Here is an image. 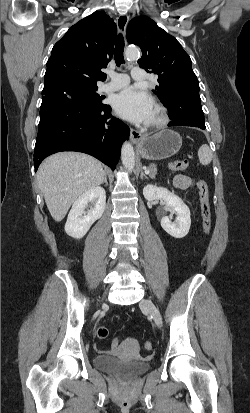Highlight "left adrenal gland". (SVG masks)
Returning <instances> with one entry per match:
<instances>
[{
	"mask_svg": "<svg viewBox=\"0 0 250 413\" xmlns=\"http://www.w3.org/2000/svg\"><path fill=\"white\" fill-rule=\"evenodd\" d=\"M145 166H143V170H145ZM141 169V174H140V177H141V179L143 178V177H145V178H148V176L143 172V170Z\"/></svg>",
	"mask_w": 250,
	"mask_h": 413,
	"instance_id": "obj_1",
	"label": "left adrenal gland"
}]
</instances>
